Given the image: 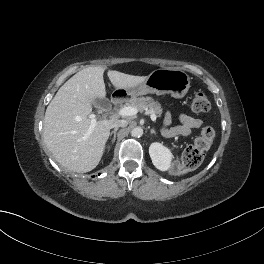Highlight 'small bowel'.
Instances as JSON below:
<instances>
[{
	"label": "small bowel",
	"mask_w": 264,
	"mask_h": 264,
	"mask_svg": "<svg viewBox=\"0 0 264 264\" xmlns=\"http://www.w3.org/2000/svg\"><path fill=\"white\" fill-rule=\"evenodd\" d=\"M171 116L169 113L165 115L163 132L168 137H174L177 135H188L195 128H199L202 125V120L189 116L187 114L179 115V124L171 126Z\"/></svg>",
	"instance_id": "small-bowel-1"
}]
</instances>
